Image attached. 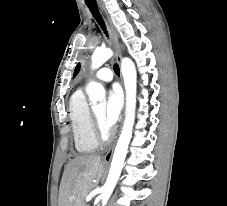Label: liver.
I'll list each match as a JSON object with an SVG mask.
<instances>
[{
	"label": "liver",
	"mask_w": 227,
	"mask_h": 206,
	"mask_svg": "<svg viewBox=\"0 0 227 206\" xmlns=\"http://www.w3.org/2000/svg\"><path fill=\"white\" fill-rule=\"evenodd\" d=\"M103 173L99 155H80L70 160L64 169L59 187L58 206H83L88 192Z\"/></svg>",
	"instance_id": "liver-1"
}]
</instances>
